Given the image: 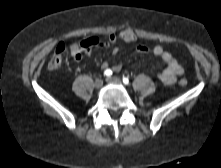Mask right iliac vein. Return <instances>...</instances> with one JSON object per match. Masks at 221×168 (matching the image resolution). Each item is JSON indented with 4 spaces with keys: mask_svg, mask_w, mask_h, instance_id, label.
<instances>
[{
    "mask_svg": "<svg viewBox=\"0 0 221 168\" xmlns=\"http://www.w3.org/2000/svg\"><path fill=\"white\" fill-rule=\"evenodd\" d=\"M102 85H103V80H102V79H97V80L95 81V83H94V86H95L97 89L101 88Z\"/></svg>",
    "mask_w": 221,
    "mask_h": 168,
    "instance_id": "obj_1",
    "label": "right iliac vein"
}]
</instances>
